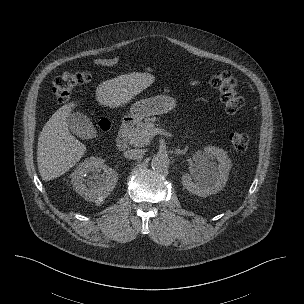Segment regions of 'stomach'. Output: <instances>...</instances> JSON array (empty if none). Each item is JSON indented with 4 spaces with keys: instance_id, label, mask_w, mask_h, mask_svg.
Masks as SVG:
<instances>
[{
    "instance_id": "obj_1",
    "label": "stomach",
    "mask_w": 304,
    "mask_h": 304,
    "mask_svg": "<svg viewBox=\"0 0 304 304\" xmlns=\"http://www.w3.org/2000/svg\"><path fill=\"white\" fill-rule=\"evenodd\" d=\"M176 106V100L170 96L158 95L135 102L128 115L134 122L141 121L148 116L165 114Z\"/></svg>"
}]
</instances>
